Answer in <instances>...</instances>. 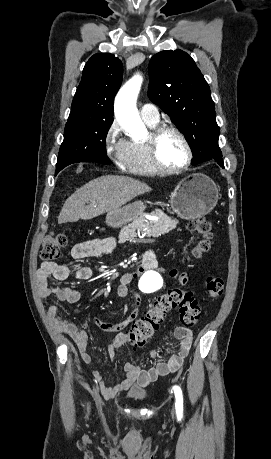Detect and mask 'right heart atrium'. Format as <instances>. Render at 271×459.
I'll list each match as a JSON object with an SVG mask.
<instances>
[{
    "label": "right heart atrium",
    "mask_w": 271,
    "mask_h": 459,
    "mask_svg": "<svg viewBox=\"0 0 271 459\" xmlns=\"http://www.w3.org/2000/svg\"><path fill=\"white\" fill-rule=\"evenodd\" d=\"M102 143L106 156L115 166L122 167L129 142L123 137L116 120L105 130Z\"/></svg>",
    "instance_id": "d8ad5b80"
}]
</instances>
